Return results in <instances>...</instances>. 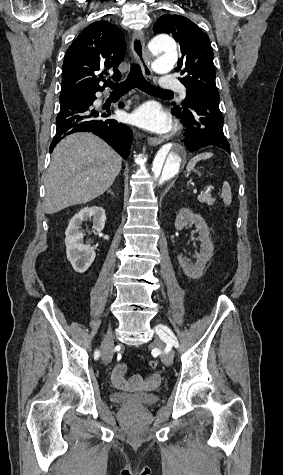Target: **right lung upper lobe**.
Here are the masks:
<instances>
[{"label":"right lung upper lobe","mask_w":283,"mask_h":475,"mask_svg":"<svg viewBox=\"0 0 283 475\" xmlns=\"http://www.w3.org/2000/svg\"><path fill=\"white\" fill-rule=\"evenodd\" d=\"M126 51L122 31L106 21L88 25L69 46L63 64L62 89L72 88L83 92L103 91L99 76L112 75L119 80L118 66Z\"/></svg>","instance_id":"obj_1"}]
</instances>
